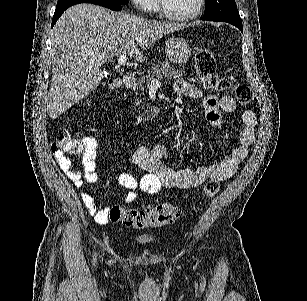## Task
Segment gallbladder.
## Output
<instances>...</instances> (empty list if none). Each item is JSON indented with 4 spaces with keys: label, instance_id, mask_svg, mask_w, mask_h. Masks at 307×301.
<instances>
[{
    "label": "gallbladder",
    "instance_id": "bac80fb5",
    "mask_svg": "<svg viewBox=\"0 0 307 301\" xmlns=\"http://www.w3.org/2000/svg\"><path fill=\"white\" fill-rule=\"evenodd\" d=\"M103 76L104 78H108V76H111V72H107V70H103Z\"/></svg>",
    "mask_w": 307,
    "mask_h": 301
}]
</instances>
